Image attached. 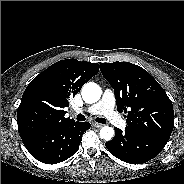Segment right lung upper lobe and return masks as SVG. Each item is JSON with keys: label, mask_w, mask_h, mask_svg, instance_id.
<instances>
[{"label": "right lung upper lobe", "mask_w": 184, "mask_h": 184, "mask_svg": "<svg viewBox=\"0 0 184 184\" xmlns=\"http://www.w3.org/2000/svg\"><path fill=\"white\" fill-rule=\"evenodd\" d=\"M98 71V63L65 59L35 77L27 86L17 111L21 138L74 121L65 117L64 108Z\"/></svg>", "instance_id": "right-lung-upper-lobe-1"}]
</instances>
